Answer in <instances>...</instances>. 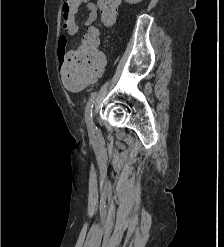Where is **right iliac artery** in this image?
Listing matches in <instances>:
<instances>
[{
  "mask_svg": "<svg viewBox=\"0 0 224 247\" xmlns=\"http://www.w3.org/2000/svg\"><path fill=\"white\" fill-rule=\"evenodd\" d=\"M97 93L93 92L88 100V103L86 105V109H85V121L87 124V128L89 131V134L91 136L94 135L95 132V125L93 122V118H92V109H93V105L96 99Z\"/></svg>",
  "mask_w": 224,
  "mask_h": 247,
  "instance_id": "obj_1",
  "label": "right iliac artery"
}]
</instances>
